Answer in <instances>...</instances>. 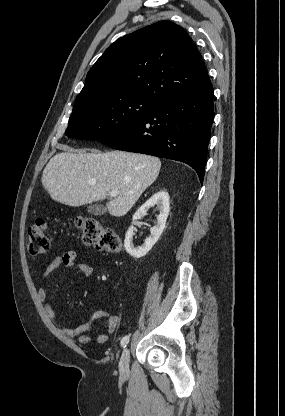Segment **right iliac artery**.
<instances>
[{
	"label": "right iliac artery",
	"instance_id": "1",
	"mask_svg": "<svg viewBox=\"0 0 285 416\" xmlns=\"http://www.w3.org/2000/svg\"><path fill=\"white\" fill-rule=\"evenodd\" d=\"M128 342H129V336L126 335L121 340V346L122 347H126V345L128 344Z\"/></svg>",
	"mask_w": 285,
	"mask_h": 416
}]
</instances>
